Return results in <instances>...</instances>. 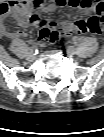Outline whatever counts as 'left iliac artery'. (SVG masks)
I'll use <instances>...</instances> for the list:
<instances>
[{"label":"left iliac artery","mask_w":104,"mask_h":137,"mask_svg":"<svg viewBox=\"0 0 104 137\" xmlns=\"http://www.w3.org/2000/svg\"><path fill=\"white\" fill-rule=\"evenodd\" d=\"M78 42H79V38L78 37H73V43L75 44V45H77L78 44Z\"/></svg>","instance_id":"44dca946"}]
</instances>
